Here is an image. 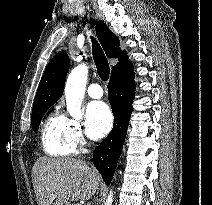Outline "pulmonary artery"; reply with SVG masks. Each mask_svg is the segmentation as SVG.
Returning a JSON list of instances; mask_svg holds the SVG:
<instances>
[{"label":"pulmonary artery","mask_w":212,"mask_h":205,"mask_svg":"<svg viewBox=\"0 0 212 205\" xmlns=\"http://www.w3.org/2000/svg\"><path fill=\"white\" fill-rule=\"evenodd\" d=\"M87 92L90 97L99 99L103 96V90L98 83H92L88 86Z\"/></svg>","instance_id":"obj_1"}]
</instances>
